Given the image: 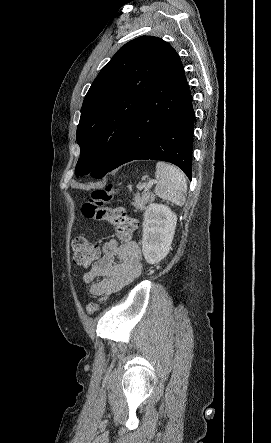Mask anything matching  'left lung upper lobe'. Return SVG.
Here are the masks:
<instances>
[{
    "instance_id": "left-lung-upper-lobe-1",
    "label": "left lung upper lobe",
    "mask_w": 271,
    "mask_h": 443,
    "mask_svg": "<svg viewBox=\"0 0 271 443\" xmlns=\"http://www.w3.org/2000/svg\"><path fill=\"white\" fill-rule=\"evenodd\" d=\"M175 54L164 40L142 36L121 47L102 68L81 108L76 176L92 170V177L102 178L109 172L152 82Z\"/></svg>"
}]
</instances>
